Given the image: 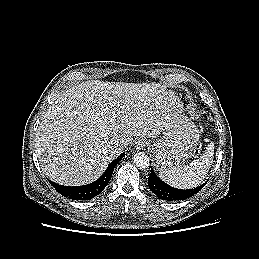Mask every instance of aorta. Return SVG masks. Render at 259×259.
Wrapping results in <instances>:
<instances>
[{
	"instance_id": "obj_1",
	"label": "aorta",
	"mask_w": 259,
	"mask_h": 259,
	"mask_svg": "<svg viewBox=\"0 0 259 259\" xmlns=\"http://www.w3.org/2000/svg\"><path fill=\"white\" fill-rule=\"evenodd\" d=\"M133 160L135 165L140 169H145L150 165V159L148 155L144 152H138L134 154Z\"/></svg>"
}]
</instances>
